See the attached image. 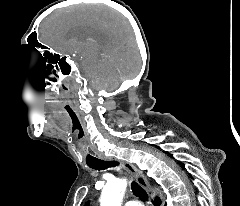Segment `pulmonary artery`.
<instances>
[{"label":"pulmonary artery","mask_w":240,"mask_h":206,"mask_svg":"<svg viewBox=\"0 0 240 206\" xmlns=\"http://www.w3.org/2000/svg\"><path fill=\"white\" fill-rule=\"evenodd\" d=\"M124 206H143L139 201H127L125 202Z\"/></svg>","instance_id":"1"}]
</instances>
